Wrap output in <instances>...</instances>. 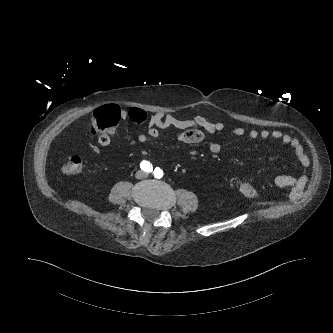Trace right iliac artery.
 Masks as SVG:
<instances>
[{
  "instance_id": "obj_1",
  "label": "right iliac artery",
  "mask_w": 333,
  "mask_h": 333,
  "mask_svg": "<svg viewBox=\"0 0 333 333\" xmlns=\"http://www.w3.org/2000/svg\"><path fill=\"white\" fill-rule=\"evenodd\" d=\"M140 168L145 171V172H152L153 170V167H152V164L149 162V161H146V160H143L141 163H140Z\"/></svg>"
}]
</instances>
